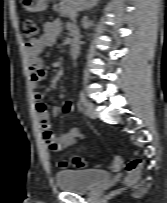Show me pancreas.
I'll list each match as a JSON object with an SVG mask.
<instances>
[{
	"label": "pancreas",
	"mask_w": 167,
	"mask_h": 203,
	"mask_svg": "<svg viewBox=\"0 0 167 203\" xmlns=\"http://www.w3.org/2000/svg\"><path fill=\"white\" fill-rule=\"evenodd\" d=\"M84 0H61L59 4L54 5V10L62 17H71L75 13Z\"/></svg>",
	"instance_id": "1"
}]
</instances>
